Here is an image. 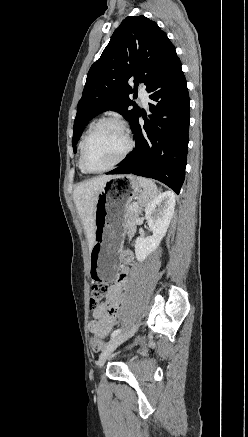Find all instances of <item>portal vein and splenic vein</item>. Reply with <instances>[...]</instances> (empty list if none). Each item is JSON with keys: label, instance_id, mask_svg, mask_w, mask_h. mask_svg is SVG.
Listing matches in <instances>:
<instances>
[{"label": "portal vein and splenic vein", "instance_id": "18ae733b", "mask_svg": "<svg viewBox=\"0 0 248 437\" xmlns=\"http://www.w3.org/2000/svg\"><path fill=\"white\" fill-rule=\"evenodd\" d=\"M133 206L138 207L137 203H133Z\"/></svg>", "mask_w": 248, "mask_h": 437}]
</instances>
